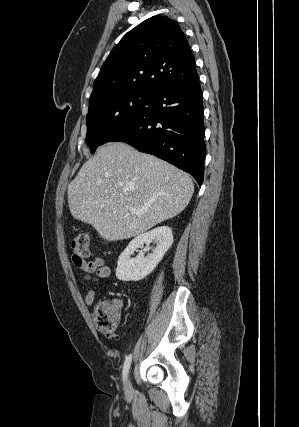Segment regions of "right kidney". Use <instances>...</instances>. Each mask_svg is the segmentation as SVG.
Wrapping results in <instances>:
<instances>
[{"mask_svg": "<svg viewBox=\"0 0 299 427\" xmlns=\"http://www.w3.org/2000/svg\"><path fill=\"white\" fill-rule=\"evenodd\" d=\"M151 242L156 244L152 249V253L145 257L143 250H140L137 257L131 258V255L137 249H142L144 244L149 246ZM172 243L173 234L168 226L157 227L135 237L119 256L116 269L117 279L121 281H139L145 278L162 260ZM147 250H149V247Z\"/></svg>", "mask_w": 299, "mask_h": 427, "instance_id": "ca27d5eb", "label": "right kidney"}]
</instances>
